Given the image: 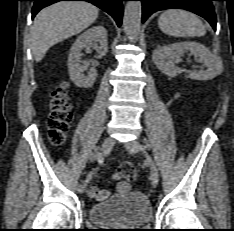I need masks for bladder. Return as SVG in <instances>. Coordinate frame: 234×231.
Wrapping results in <instances>:
<instances>
[{"instance_id": "obj_1", "label": "bladder", "mask_w": 234, "mask_h": 231, "mask_svg": "<svg viewBox=\"0 0 234 231\" xmlns=\"http://www.w3.org/2000/svg\"><path fill=\"white\" fill-rule=\"evenodd\" d=\"M88 214L93 222L100 225L138 226L148 223L153 211L150 200L143 193L133 191L94 204Z\"/></svg>"}]
</instances>
